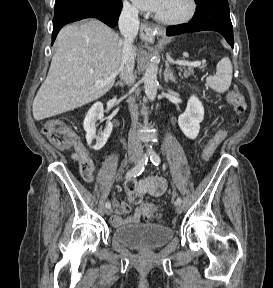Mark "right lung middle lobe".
Listing matches in <instances>:
<instances>
[{
  "label": "right lung middle lobe",
  "instance_id": "dd1d6c3e",
  "mask_svg": "<svg viewBox=\"0 0 273 288\" xmlns=\"http://www.w3.org/2000/svg\"><path fill=\"white\" fill-rule=\"evenodd\" d=\"M85 1H89V0H56L55 1V5L61 4V3H66V2H85ZM98 2H101L103 4H109L112 3L115 0H96Z\"/></svg>",
  "mask_w": 273,
  "mask_h": 288
}]
</instances>
